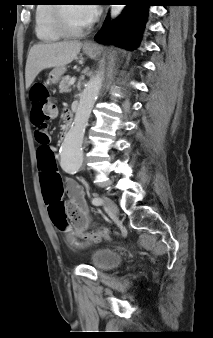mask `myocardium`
<instances>
[{"instance_id":"1","label":"myocardium","mask_w":213,"mask_h":338,"mask_svg":"<svg viewBox=\"0 0 213 338\" xmlns=\"http://www.w3.org/2000/svg\"><path fill=\"white\" fill-rule=\"evenodd\" d=\"M54 8V26L56 30L64 37H80L86 34L88 31L91 30V26H87L86 28L80 30H73L71 29L65 20V7L68 5H55Z\"/></svg>"}]
</instances>
